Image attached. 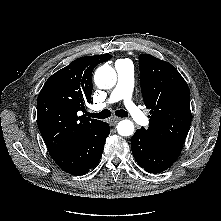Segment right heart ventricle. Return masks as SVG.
Wrapping results in <instances>:
<instances>
[{
	"instance_id": "1",
	"label": "right heart ventricle",
	"mask_w": 221,
	"mask_h": 221,
	"mask_svg": "<svg viewBox=\"0 0 221 221\" xmlns=\"http://www.w3.org/2000/svg\"><path fill=\"white\" fill-rule=\"evenodd\" d=\"M126 61H127V60H118L117 63H118V62H126Z\"/></svg>"
}]
</instances>
